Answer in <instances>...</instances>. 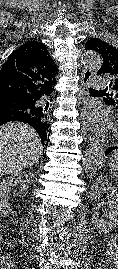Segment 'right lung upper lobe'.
<instances>
[{
    "label": "right lung upper lobe",
    "mask_w": 118,
    "mask_h": 269,
    "mask_svg": "<svg viewBox=\"0 0 118 269\" xmlns=\"http://www.w3.org/2000/svg\"><path fill=\"white\" fill-rule=\"evenodd\" d=\"M57 66L47 47L37 41H29L15 50L0 70V97L16 96L38 104L30 125L42 141L49 132V103L40 101L54 91Z\"/></svg>",
    "instance_id": "obj_1"
}]
</instances>
